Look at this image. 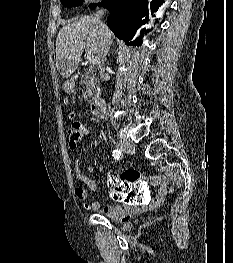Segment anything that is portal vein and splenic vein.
Listing matches in <instances>:
<instances>
[{
  "label": "portal vein and splenic vein",
  "mask_w": 233,
  "mask_h": 263,
  "mask_svg": "<svg viewBox=\"0 0 233 263\" xmlns=\"http://www.w3.org/2000/svg\"><path fill=\"white\" fill-rule=\"evenodd\" d=\"M87 60H88L89 62H91V63H94V62H95V57H94V55L88 54V55H87Z\"/></svg>",
  "instance_id": "18ae733b"
}]
</instances>
